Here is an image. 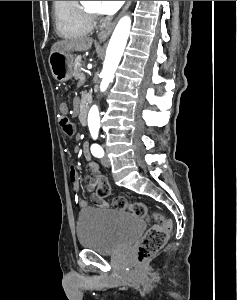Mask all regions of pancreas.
Segmentation results:
<instances>
[{
    "label": "pancreas",
    "instance_id": "pancreas-1",
    "mask_svg": "<svg viewBox=\"0 0 237 300\" xmlns=\"http://www.w3.org/2000/svg\"><path fill=\"white\" fill-rule=\"evenodd\" d=\"M78 61H75L74 69H73V75L75 79H79V77H82L80 74L82 73L79 65H77ZM84 77V76H83Z\"/></svg>",
    "mask_w": 237,
    "mask_h": 300
}]
</instances>
